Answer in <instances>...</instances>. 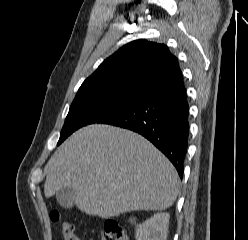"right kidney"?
<instances>
[{
    "label": "right kidney",
    "mask_w": 248,
    "mask_h": 240,
    "mask_svg": "<svg viewBox=\"0 0 248 240\" xmlns=\"http://www.w3.org/2000/svg\"><path fill=\"white\" fill-rule=\"evenodd\" d=\"M169 213H156L136 226V240H167Z\"/></svg>",
    "instance_id": "ca27d5eb"
}]
</instances>
